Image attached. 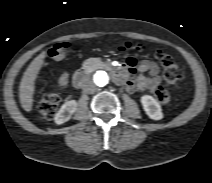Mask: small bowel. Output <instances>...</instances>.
I'll return each mask as SVG.
<instances>
[{"label":"small bowel","instance_id":"1","mask_svg":"<svg viewBox=\"0 0 212 183\" xmlns=\"http://www.w3.org/2000/svg\"><path fill=\"white\" fill-rule=\"evenodd\" d=\"M136 70H138L139 74L132 79L131 76L136 74ZM158 74L159 67L153 61H138L134 57H129L123 65L122 70L118 73L117 81L124 85L129 92L139 89L154 93L158 88H160L161 84V78ZM68 83V75L65 73L62 74L58 80L59 86L61 88H66Z\"/></svg>","mask_w":212,"mask_h":183}]
</instances>
